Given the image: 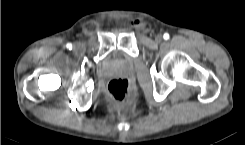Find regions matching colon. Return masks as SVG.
Instances as JSON below:
<instances>
[{
	"mask_svg": "<svg viewBox=\"0 0 245 145\" xmlns=\"http://www.w3.org/2000/svg\"><path fill=\"white\" fill-rule=\"evenodd\" d=\"M135 25L140 30H147L149 28L144 22H137ZM107 92L116 104L129 103L134 97L133 86L127 79H114L110 81Z\"/></svg>",
	"mask_w": 245,
	"mask_h": 145,
	"instance_id": "1",
	"label": "colon"
}]
</instances>
